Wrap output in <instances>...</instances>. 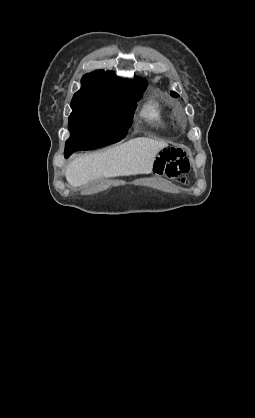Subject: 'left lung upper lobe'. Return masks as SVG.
Returning <instances> with one entry per match:
<instances>
[{"instance_id":"obj_1","label":"left lung upper lobe","mask_w":255,"mask_h":418,"mask_svg":"<svg viewBox=\"0 0 255 418\" xmlns=\"http://www.w3.org/2000/svg\"><path fill=\"white\" fill-rule=\"evenodd\" d=\"M171 96L178 97V94L176 92H171Z\"/></svg>"}]
</instances>
